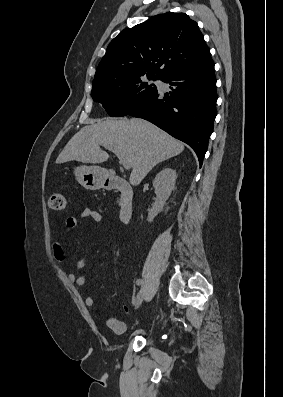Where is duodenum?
<instances>
[{
    "instance_id": "410a0bca",
    "label": "duodenum",
    "mask_w": 283,
    "mask_h": 397,
    "mask_svg": "<svg viewBox=\"0 0 283 397\" xmlns=\"http://www.w3.org/2000/svg\"><path fill=\"white\" fill-rule=\"evenodd\" d=\"M105 187L120 193L119 218L123 223H128L133 215V190L129 183L119 176H110L105 182Z\"/></svg>"
}]
</instances>
